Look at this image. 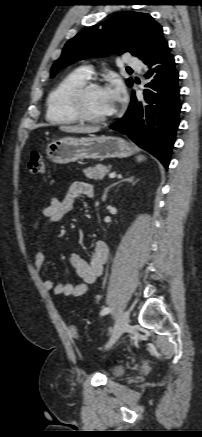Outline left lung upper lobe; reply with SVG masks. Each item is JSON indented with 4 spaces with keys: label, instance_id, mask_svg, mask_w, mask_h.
<instances>
[{
    "label": "left lung upper lobe",
    "instance_id": "1",
    "mask_svg": "<svg viewBox=\"0 0 202 437\" xmlns=\"http://www.w3.org/2000/svg\"><path fill=\"white\" fill-rule=\"evenodd\" d=\"M166 43L162 27L149 14L121 12L70 39L53 64L51 77L75 61L111 53L130 52L146 63ZM126 83L132 86L133 80L129 78Z\"/></svg>",
    "mask_w": 202,
    "mask_h": 437
}]
</instances>
